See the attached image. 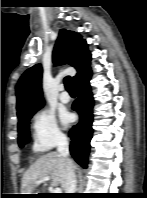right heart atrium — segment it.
Wrapping results in <instances>:
<instances>
[{
  "label": "right heart atrium",
  "mask_w": 147,
  "mask_h": 198,
  "mask_svg": "<svg viewBox=\"0 0 147 198\" xmlns=\"http://www.w3.org/2000/svg\"><path fill=\"white\" fill-rule=\"evenodd\" d=\"M33 149L46 152L63 143L66 139L57 120L49 110L42 109L32 118Z\"/></svg>",
  "instance_id": "d8ad5b80"
}]
</instances>
